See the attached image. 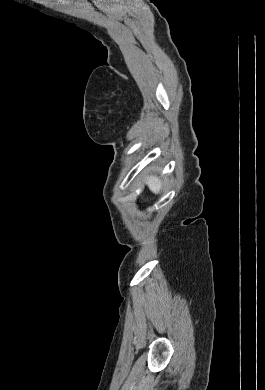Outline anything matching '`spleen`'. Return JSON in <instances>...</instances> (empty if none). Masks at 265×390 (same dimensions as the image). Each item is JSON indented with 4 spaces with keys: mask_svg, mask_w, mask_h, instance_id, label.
<instances>
[{
    "mask_svg": "<svg viewBox=\"0 0 265 390\" xmlns=\"http://www.w3.org/2000/svg\"><path fill=\"white\" fill-rule=\"evenodd\" d=\"M146 184L148 185L149 189L155 193L158 194L162 188V182L160 179H158L155 176H149L145 179Z\"/></svg>",
    "mask_w": 265,
    "mask_h": 390,
    "instance_id": "spleen-1",
    "label": "spleen"
}]
</instances>
